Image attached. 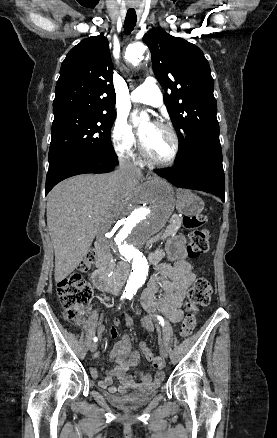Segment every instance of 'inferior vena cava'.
<instances>
[{
    "label": "inferior vena cava",
    "instance_id": "obj_1",
    "mask_svg": "<svg viewBox=\"0 0 277 438\" xmlns=\"http://www.w3.org/2000/svg\"><path fill=\"white\" fill-rule=\"evenodd\" d=\"M116 174L120 176L121 182H130L135 176H141V170L133 162H130V158L119 156V170Z\"/></svg>",
    "mask_w": 277,
    "mask_h": 438
}]
</instances>
